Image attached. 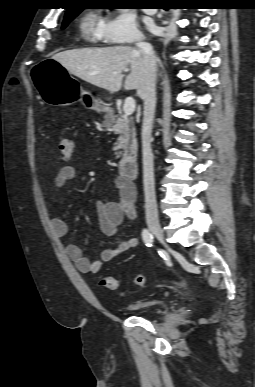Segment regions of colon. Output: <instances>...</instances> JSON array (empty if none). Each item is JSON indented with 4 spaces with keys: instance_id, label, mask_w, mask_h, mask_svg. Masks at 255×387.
Segmentation results:
<instances>
[{
    "instance_id": "1",
    "label": "colon",
    "mask_w": 255,
    "mask_h": 387,
    "mask_svg": "<svg viewBox=\"0 0 255 387\" xmlns=\"http://www.w3.org/2000/svg\"><path fill=\"white\" fill-rule=\"evenodd\" d=\"M58 150L60 156L62 157H71L74 153V143L73 140L67 136H60L58 140ZM146 278L142 274H138L134 277L133 283L137 287H142L145 285ZM100 285L104 288L115 291L118 289V281L115 277L110 275H105L100 280Z\"/></svg>"
}]
</instances>
